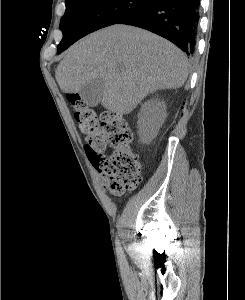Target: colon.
Returning <instances> with one entry per match:
<instances>
[{"instance_id":"obj_1","label":"colon","mask_w":245,"mask_h":300,"mask_svg":"<svg viewBox=\"0 0 245 300\" xmlns=\"http://www.w3.org/2000/svg\"><path fill=\"white\" fill-rule=\"evenodd\" d=\"M69 101L79 128L86 135L85 152L100 170L106 189L114 195H122L137 188L141 182V165L132 148V132L122 117L113 112H104L99 117L76 94L70 95ZM108 147L112 153L107 156Z\"/></svg>"}]
</instances>
